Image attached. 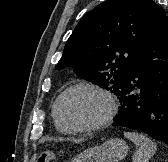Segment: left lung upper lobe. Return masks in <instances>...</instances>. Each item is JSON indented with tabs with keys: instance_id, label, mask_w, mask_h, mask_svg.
<instances>
[{
	"instance_id": "5c2ea615",
	"label": "left lung upper lobe",
	"mask_w": 168,
	"mask_h": 162,
	"mask_svg": "<svg viewBox=\"0 0 168 162\" xmlns=\"http://www.w3.org/2000/svg\"><path fill=\"white\" fill-rule=\"evenodd\" d=\"M153 0H107L88 12L66 42L55 69L114 93L143 49L167 20Z\"/></svg>"
}]
</instances>
